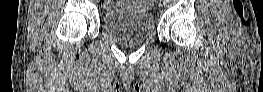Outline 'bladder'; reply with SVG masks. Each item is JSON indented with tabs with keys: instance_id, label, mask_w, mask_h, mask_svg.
Returning a JSON list of instances; mask_svg holds the SVG:
<instances>
[{
	"instance_id": "31cf9c89",
	"label": "bladder",
	"mask_w": 263,
	"mask_h": 92,
	"mask_svg": "<svg viewBox=\"0 0 263 92\" xmlns=\"http://www.w3.org/2000/svg\"><path fill=\"white\" fill-rule=\"evenodd\" d=\"M103 14V26L114 41L132 46L145 41L153 32L154 17L143 1H121Z\"/></svg>"
}]
</instances>
